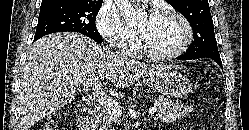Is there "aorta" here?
Here are the masks:
<instances>
[{"mask_svg": "<svg viewBox=\"0 0 249 130\" xmlns=\"http://www.w3.org/2000/svg\"><path fill=\"white\" fill-rule=\"evenodd\" d=\"M117 6L126 21H135L138 18V12L135 11L129 0H118Z\"/></svg>", "mask_w": 249, "mask_h": 130, "instance_id": "762f6f07", "label": "aorta"}]
</instances>
